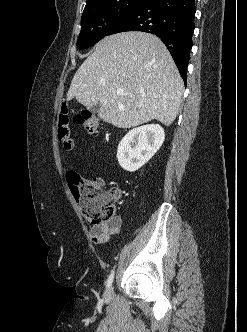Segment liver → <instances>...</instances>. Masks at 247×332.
<instances>
[{
    "label": "liver",
    "instance_id": "1",
    "mask_svg": "<svg viewBox=\"0 0 247 332\" xmlns=\"http://www.w3.org/2000/svg\"><path fill=\"white\" fill-rule=\"evenodd\" d=\"M123 90L122 95L116 92ZM184 84L163 42L144 32L106 36L76 71L67 99L90 108L118 128L153 119L171 125L181 104Z\"/></svg>",
    "mask_w": 247,
    "mask_h": 332
}]
</instances>
